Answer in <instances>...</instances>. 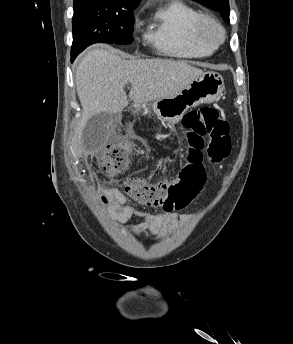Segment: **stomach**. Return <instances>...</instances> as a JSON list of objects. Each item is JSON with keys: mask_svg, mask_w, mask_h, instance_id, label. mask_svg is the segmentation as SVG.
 I'll return each mask as SVG.
<instances>
[{"mask_svg": "<svg viewBox=\"0 0 293 344\" xmlns=\"http://www.w3.org/2000/svg\"><path fill=\"white\" fill-rule=\"evenodd\" d=\"M223 90V77L217 72L206 71L177 95L153 101L142 108H152L160 119L174 125L182 119L189 108L217 100Z\"/></svg>", "mask_w": 293, "mask_h": 344, "instance_id": "stomach-1", "label": "stomach"}]
</instances>
